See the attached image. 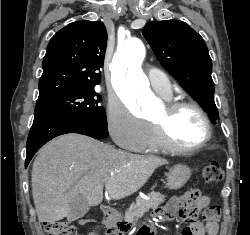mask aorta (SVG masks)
Segmentation results:
<instances>
[{
    "instance_id": "762f6f07",
    "label": "aorta",
    "mask_w": 250,
    "mask_h": 235,
    "mask_svg": "<svg viewBox=\"0 0 250 235\" xmlns=\"http://www.w3.org/2000/svg\"><path fill=\"white\" fill-rule=\"evenodd\" d=\"M145 53V46L140 40H130L117 52L111 64V74L121 100L129 107L139 104L143 113L148 115L156 99L141 69Z\"/></svg>"
}]
</instances>
